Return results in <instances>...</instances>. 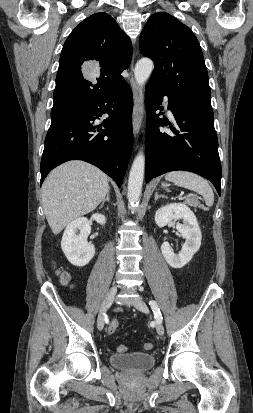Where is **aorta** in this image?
<instances>
[{"mask_svg": "<svg viewBox=\"0 0 253 413\" xmlns=\"http://www.w3.org/2000/svg\"><path fill=\"white\" fill-rule=\"evenodd\" d=\"M154 63L149 58L140 59L134 69V76L138 86H143L150 77ZM145 172V155L140 151L135 157L128 179L127 198L131 206L138 204L142 193L143 178Z\"/></svg>", "mask_w": 253, "mask_h": 413, "instance_id": "762f6f07", "label": "aorta"}]
</instances>
